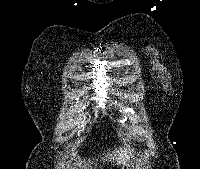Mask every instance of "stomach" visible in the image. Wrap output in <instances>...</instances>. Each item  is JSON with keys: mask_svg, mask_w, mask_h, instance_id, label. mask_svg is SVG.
Wrapping results in <instances>:
<instances>
[{"mask_svg": "<svg viewBox=\"0 0 200 169\" xmlns=\"http://www.w3.org/2000/svg\"><path fill=\"white\" fill-rule=\"evenodd\" d=\"M122 169H134V166L132 165V163H127L122 167Z\"/></svg>", "mask_w": 200, "mask_h": 169, "instance_id": "0dacf381", "label": "stomach"}]
</instances>
